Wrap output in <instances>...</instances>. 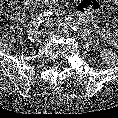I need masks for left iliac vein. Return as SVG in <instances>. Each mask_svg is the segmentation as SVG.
I'll list each match as a JSON object with an SVG mask.
<instances>
[{
    "label": "left iliac vein",
    "instance_id": "obj_1",
    "mask_svg": "<svg viewBox=\"0 0 118 118\" xmlns=\"http://www.w3.org/2000/svg\"><path fill=\"white\" fill-rule=\"evenodd\" d=\"M58 25L61 26V29H62V31H63L64 33H67V32H68V28H67L66 25H63L62 23H59Z\"/></svg>",
    "mask_w": 118,
    "mask_h": 118
}]
</instances>
